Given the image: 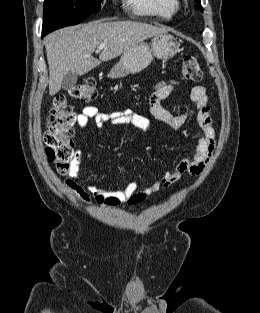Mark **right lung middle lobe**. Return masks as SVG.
I'll list each match as a JSON object with an SVG mask.
<instances>
[{
  "label": "right lung middle lobe",
  "instance_id": "1",
  "mask_svg": "<svg viewBox=\"0 0 260 313\" xmlns=\"http://www.w3.org/2000/svg\"><path fill=\"white\" fill-rule=\"evenodd\" d=\"M103 0H45L42 31L46 34L81 23L101 9Z\"/></svg>",
  "mask_w": 260,
  "mask_h": 313
}]
</instances>
